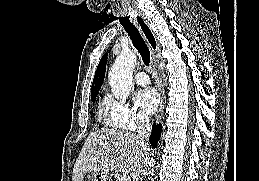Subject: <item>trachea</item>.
Returning a JSON list of instances; mask_svg holds the SVG:
<instances>
[{
    "instance_id": "trachea-1",
    "label": "trachea",
    "mask_w": 259,
    "mask_h": 181,
    "mask_svg": "<svg viewBox=\"0 0 259 181\" xmlns=\"http://www.w3.org/2000/svg\"><path fill=\"white\" fill-rule=\"evenodd\" d=\"M123 28L130 36L134 47L138 50L141 58L146 66L150 65V50L146 45L143 37L141 36L138 28L129 20H125L121 22Z\"/></svg>"
}]
</instances>
